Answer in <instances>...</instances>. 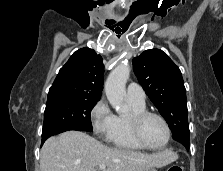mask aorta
I'll return each mask as SVG.
<instances>
[{"label":"aorta","mask_w":223,"mask_h":171,"mask_svg":"<svg viewBox=\"0 0 223 171\" xmlns=\"http://www.w3.org/2000/svg\"><path fill=\"white\" fill-rule=\"evenodd\" d=\"M129 75L130 67L124 62L112 70L105 83L107 99L119 114L126 112L128 109L124 103V98L126 95L125 85Z\"/></svg>","instance_id":"1"}]
</instances>
